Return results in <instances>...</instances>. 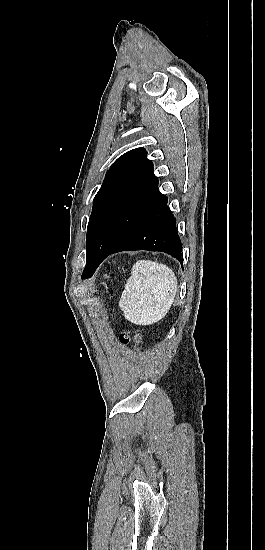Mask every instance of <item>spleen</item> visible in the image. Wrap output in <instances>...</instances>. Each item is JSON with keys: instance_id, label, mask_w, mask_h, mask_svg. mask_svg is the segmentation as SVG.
<instances>
[{"instance_id": "3e777b00", "label": "spleen", "mask_w": 265, "mask_h": 550, "mask_svg": "<svg viewBox=\"0 0 265 550\" xmlns=\"http://www.w3.org/2000/svg\"><path fill=\"white\" fill-rule=\"evenodd\" d=\"M177 288V278L168 266L139 260L132 268V276L127 281L119 306L131 323L151 325L168 313Z\"/></svg>"}]
</instances>
